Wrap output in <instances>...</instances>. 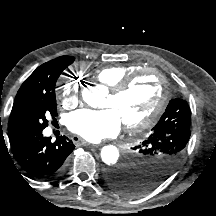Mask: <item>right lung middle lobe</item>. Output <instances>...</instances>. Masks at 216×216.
Instances as JSON below:
<instances>
[{
	"mask_svg": "<svg viewBox=\"0 0 216 216\" xmlns=\"http://www.w3.org/2000/svg\"><path fill=\"white\" fill-rule=\"evenodd\" d=\"M74 59L60 62L53 80L31 90L19 105L16 113L10 117L8 134L15 136L19 133L38 130L48 126L46 115H57L55 85L62 71L72 64Z\"/></svg>",
	"mask_w": 216,
	"mask_h": 216,
	"instance_id": "right-lung-middle-lobe-1",
	"label": "right lung middle lobe"
}]
</instances>
